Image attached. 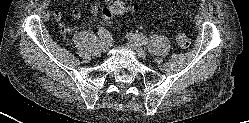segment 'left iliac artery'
<instances>
[{
    "mask_svg": "<svg viewBox=\"0 0 249 123\" xmlns=\"http://www.w3.org/2000/svg\"><path fill=\"white\" fill-rule=\"evenodd\" d=\"M131 36L134 37L140 45H146L148 43V39L142 34L136 33Z\"/></svg>",
    "mask_w": 249,
    "mask_h": 123,
    "instance_id": "1",
    "label": "left iliac artery"
}]
</instances>
